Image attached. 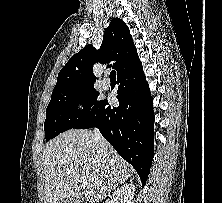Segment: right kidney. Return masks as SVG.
Listing matches in <instances>:
<instances>
[{"label":"right kidney","instance_id":"right-kidney-1","mask_svg":"<svg viewBox=\"0 0 222 203\" xmlns=\"http://www.w3.org/2000/svg\"><path fill=\"white\" fill-rule=\"evenodd\" d=\"M135 194V186L132 183L124 184L117 188L112 195L113 203H132Z\"/></svg>","mask_w":222,"mask_h":203}]
</instances>
